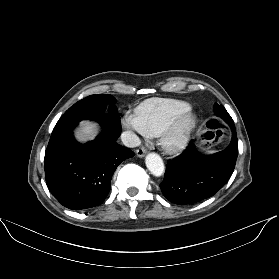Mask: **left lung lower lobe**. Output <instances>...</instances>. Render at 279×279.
I'll use <instances>...</instances> for the list:
<instances>
[{"label": "left lung lower lobe", "mask_w": 279, "mask_h": 279, "mask_svg": "<svg viewBox=\"0 0 279 279\" xmlns=\"http://www.w3.org/2000/svg\"><path fill=\"white\" fill-rule=\"evenodd\" d=\"M226 122L232 130L226 149L202 155L191 142L181 155L168 162L160 188L169 201L178 205L199 202L216 194L228 181L236 164L238 139L234 123Z\"/></svg>", "instance_id": "0a47b994"}]
</instances>
